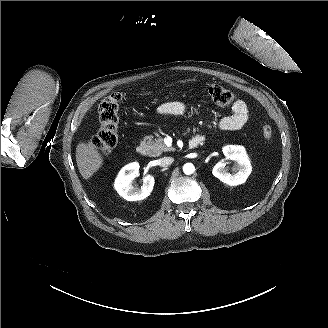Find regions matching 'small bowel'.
<instances>
[{
  "mask_svg": "<svg viewBox=\"0 0 328 328\" xmlns=\"http://www.w3.org/2000/svg\"><path fill=\"white\" fill-rule=\"evenodd\" d=\"M187 112V106L178 101H171L161 104L157 108L159 115H183ZM249 119L247 104L241 100H236L232 105V114L220 119L219 128L226 131H236L242 129Z\"/></svg>",
  "mask_w": 328,
  "mask_h": 328,
  "instance_id": "obj_1",
  "label": "small bowel"
}]
</instances>
